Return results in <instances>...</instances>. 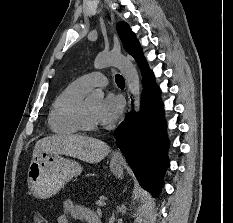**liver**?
<instances>
[{"instance_id": "6515ba94", "label": "liver", "mask_w": 233, "mask_h": 223, "mask_svg": "<svg viewBox=\"0 0 233 223\" xmlns=\"http://www.w3.org/2000/svg\"><path fill=\"white\" fill-rule=\"evenodd\" d=\"M43 151L71 155L87 163H99L108 155L110 147L105 141L96 139V137L67 133V135H49V137L39 139L33 149V157Z\"/></svg>"}]
</instances>
